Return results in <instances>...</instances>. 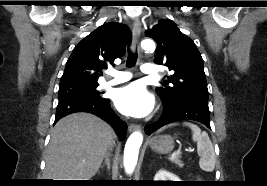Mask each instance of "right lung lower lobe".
Masks as SVG:
<instances>
[{
    "mask_svg": "<svg viewBox=\"0 0 267 186\" xmlns=\"http://www.w3.org/2000/svg\"><path fill=\"white\" fill-rule=\"evenodd\" d=\"M76 112H88L106 120L114 128L120 140L125 138L127 125L125 122L121 121L111 109L108 99H96L80 95L60 98L54 123L59 121L62 117Z\"/></svg>",
    "mask_w": 267,
    "mask_h": 186,
    "instance_id": "1",
    "label": "right lung lower lobe"
}]
</instances>
